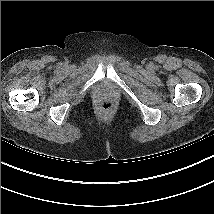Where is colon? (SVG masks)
<instances>
[{
	"mask_svg": "<svg viewBox=\"0 0 214 214\" xmlns=\"http://www.w3.org/2000/svg\"><path fill=\"white\" fill-rule=\"evenodd\" d=\"M100 107H101L102 109H104V110H108L109 108L112 107V103H111L110 101H108V100H103V101H101V103H100Z\"/></svg>",
	"mask_w": 214,
	"mask_h": 214,
	"instance_id": "colon-1",
	"label": "colon"
}]
</instances>
